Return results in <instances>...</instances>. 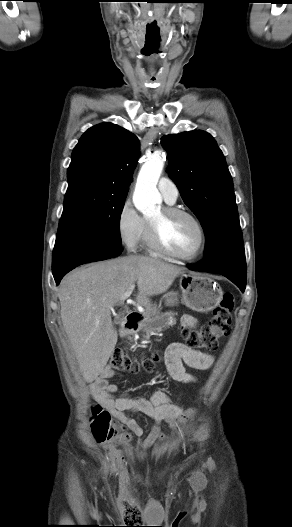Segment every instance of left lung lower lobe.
I'll return each mask as SVG.
<instances>
[{
  "label": "left lung lower lobe",
  "mask_w": 292,
  "mask_h": 527,
  "mask_svg": "<svg viewBox=\"0 0 292 527\" xmlns=\"http://www.w3.org/2000/svg\"><path fill=\"white\" fill-rule=\"evenodd\" d=\"M191 270L219 273L244 292L246 287V261L245 252L221 253L211 258H205L197 264L187 265Z\"/></svg>",
  "instance_id": "0a47b994"
}]
</instances>
